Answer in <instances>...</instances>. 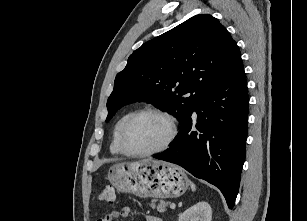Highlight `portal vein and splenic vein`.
I'll return each instance as SVG.
<instances>
[{"label":"portal vein and splenic vein","instance_id":"1","mask_svg":"<svg viewBox=\"0 0 307 221\" xmlns=\"http://www.w3.org/2000/svg\"><path fill=\"white\" fill-rule=\"evenodd\" d=\"M170 208L171 209H175L176 208V205L174 203L170 204Z\"/></svg>","mask_w":307,"mask_h":221}]
</instances>
